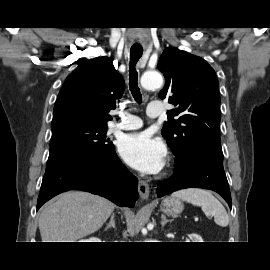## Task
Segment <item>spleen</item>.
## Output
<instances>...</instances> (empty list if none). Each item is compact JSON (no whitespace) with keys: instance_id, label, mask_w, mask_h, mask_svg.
<instances>
[{"instance_id":"obj_1","label":"spleen","mask_w":270,"mask_h":270,"mask_svg":"<svg viewBox=\"0 0 270 270\" xmlns=\"http://www.w3.org/2000/svg\"><path fill=\"white\" fill-rule=\"evenodd\" d=\"M174 198L182 199L194 206L201 207L207 216H213L214 222L226 227L229 223L228 214L223 205L207 190L199 188H188L176 191L171 195Z\"/></svg>"}]
</instances>
